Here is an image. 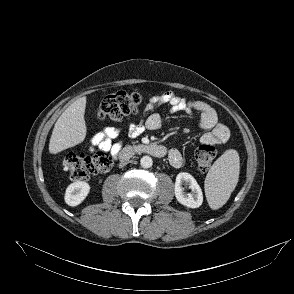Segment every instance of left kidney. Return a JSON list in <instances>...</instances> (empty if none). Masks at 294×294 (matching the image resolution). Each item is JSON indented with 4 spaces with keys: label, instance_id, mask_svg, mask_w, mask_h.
I'll list each match as a JSON object with an SVG mask.
<instances>
[{
    "label": "left kidney",
    "instance_id": "1",
    "mask_svg": "<svg viewBox=\"0 0 294 294\" xmlns=\"http://www.w3.org/2000/svg\"><path fill=\"white\" fill-rule=\"evenodd\" d=\"M183 184L189 186L190 193H186ZM175 197L179 203L189 208H198L202 205L203 194L195 178L186 172L177 175L175 181Z\"/></svg>",
    "mask_w": 294,
    "mask_h": 294
}]
</instances>
